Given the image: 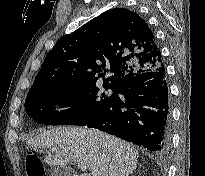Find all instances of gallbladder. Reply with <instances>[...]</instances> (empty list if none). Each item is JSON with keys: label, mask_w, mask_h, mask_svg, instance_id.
<instances>
[{"label": "gallbladder", "mask_w": 205, "mask_h": 176, "mask_svg": "<svg viewBox=\"0 0 205 176\" xmlns=\"http://www.w3.org/2000/svg\"><path fill=\"white\" fill-rule=\"evenodd\" d=\"M51 176H69L70 169L67 167L55 166L50 171Z\"/></svg>", "instance_id": "bac80fb5"}]
</instances>
